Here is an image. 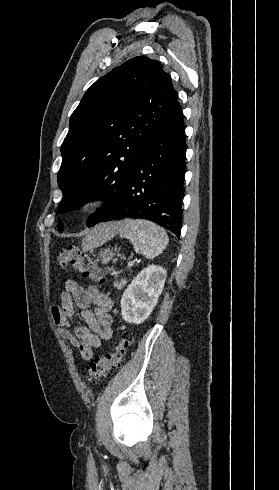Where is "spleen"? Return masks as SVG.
<instances>
[{"mask_svg": "<svg viewBox=\"0 0 279 490\" xmlns=\"http://www.w3.org/2000/svg\"><path fill=\"white\" fill-rule=\"evenodd\" d=\"M120 238H127L133 244L136 254H143L148 260L162 254L168 244V236L160 226L148 220H124L119 228ZM110 240L109 236L100 240L99 246Z\"/></svg>", "mask_w": 279, "mask_h": 490, "instance_id": "obj_1", "label": "spleen"}]
</instances>
